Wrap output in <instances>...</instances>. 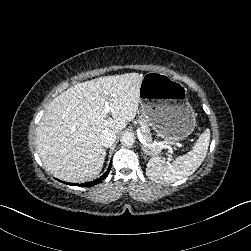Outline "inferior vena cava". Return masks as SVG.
Listing matches in <instances>:
<instances>
[{
    "label": "inferior vena cava",
    "instance_id": "1",
    "mask_svg": "<svg viewBox=\"0 0 251 251\" xmlns=\"http://www.w3.org/2000/svg\"><path fill=\"white\" fill-rule=\"evenodd\" d=\"M100 139L102 146L110 147L116 140V134L112 130H103Z\"/></svg>",
    "mask_w": 251,
    "mask_h": 251
}]
</instances>
